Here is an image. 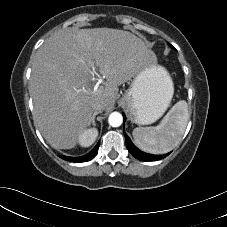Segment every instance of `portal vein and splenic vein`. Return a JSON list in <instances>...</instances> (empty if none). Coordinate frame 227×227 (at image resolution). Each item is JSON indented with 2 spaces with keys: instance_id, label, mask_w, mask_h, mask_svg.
Returning <instances> with one entry per match:
<instances>
[{
  "instance_id": "obj_1",
  "label": "portal vein and splenic vein",
  "mask_w": 227,
  "mask_h": 227,
  "mask_svg": "<svg viewBox=\"0 0 227 227\" xmlns=\"http://www.w3.org/2000/svg\"><path fill=\"white\" fill-rule=\"evenodd\" d=\"M90 64H91V66L93 67V69H94V65H93V63L92 62H90Z\"/></svg>"
}]
</instances>
